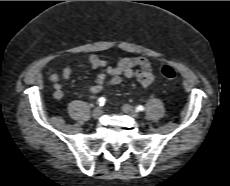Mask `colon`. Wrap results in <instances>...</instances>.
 I'll return each instance as SVG.
<instances>
[{
	"label": "colon",
	"mask_w": 230,
	"mask_h": 186,
	"mask_svg": "<svg viewBox=\"0 0 230 186\" xmlns=\"http://www.w3.org/2000/svg\"><path fill=\"white\" fill-rule=\"evenodd\" d=\"M161 74L163 77L169 80H173L176 78V71L171 66H163L161 68Z\"/></svg>",
	"instance_id": "5ec220e1"
}]
</instances>
